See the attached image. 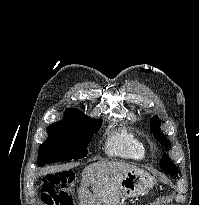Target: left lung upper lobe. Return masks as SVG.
Listing matches in <instances>:
<instances>
[{
  "label": "left lung upper lobe",
  "instance_id": "obj_1",
  "mask_svg": "<svg viewBox=\"0 0 199 205\" xmlns=\"http://www.w3.org/2000/svg\"><path fill=\"white\" fill-rule=\"evenodd\" d=\"M150 128L153 132L154 137L159 141L163 146L166 147L168 151L170 149V141L166 138V136L161 132L160 129V120L158 117L153 116L150 120ZM160 167L170 173L171 175H175L177 173L178 168L176 165L169 159L168 155L164 154L160 160Z\"/></svg>",
  "mask_w": 199,
  "mask_h": 205
}]
</instances>
